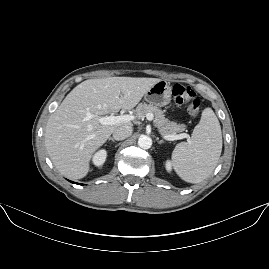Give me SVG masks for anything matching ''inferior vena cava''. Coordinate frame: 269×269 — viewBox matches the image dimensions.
Segmentation results:
<instances>
[{
    "instance_id": "602c4592",
    "label": "inferior vena cava",
    "mask_w": 269,
    "mask_h": 269,
    "mask_svg": "<svg viewBox=\"0 0 269 269\" xmlns=\"http://www.w3.org/2000/svg\"><path fill=\"white\" fill-rule=\"evenodd\" d=\"M132 127L128 126V125H124L121 126L119 128H117L114 133H113V137L115 140H124L126 138H128L129 136H131L132 134Z\"/></svg>"
}]
</instances>
